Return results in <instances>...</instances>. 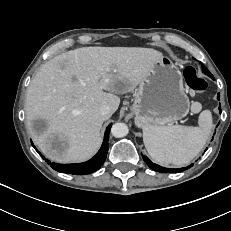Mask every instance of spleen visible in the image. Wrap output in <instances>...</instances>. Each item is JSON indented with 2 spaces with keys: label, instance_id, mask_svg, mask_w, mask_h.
Wrapping results in <instances>:
<instances>
[{
  "label": "spleen",
  "instance_id": "3e777b00",
  "mask_svg": "<svg viewBox=\"0 0 231 231\" xmlns=\"http://www.w3.org/2000/svg\"><path fill=\"white\" fill-rule=\"evenodd\" d=\"M198 127L168 125L143 127V141L149 155L160 164L185 166L203 149L212 129L209 110L200 113Z\"/></svg>",
  "mask_w": 231,
  "mask_h": 231
}]
</instances>
